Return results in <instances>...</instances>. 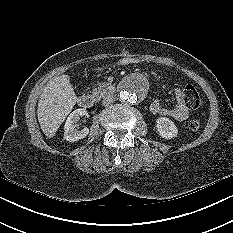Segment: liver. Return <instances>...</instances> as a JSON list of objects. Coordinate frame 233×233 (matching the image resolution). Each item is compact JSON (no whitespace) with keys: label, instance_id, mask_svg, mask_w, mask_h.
Masks as SVG:
<instances>
[{"label":"liver","instance_id":"obj_1","mask_svg":"<svg viewBox=\"0 0 233 233\" xmlns=\"http://www.w3.org/2000/svg\"><path fill=\"white\" fill-rule=\"evenodd\" d=\"M77 97L68 75L51 80L40 95L37 116L43 133L52 138L76 104Z\"/></svg>","mask_w":233,"mask_h":233}]
</instances>
